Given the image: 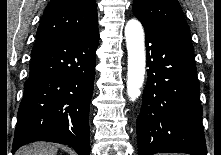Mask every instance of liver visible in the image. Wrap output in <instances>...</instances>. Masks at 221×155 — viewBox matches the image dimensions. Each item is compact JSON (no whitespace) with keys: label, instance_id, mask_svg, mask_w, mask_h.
Masks as SVG:
<instances>
[{"label":"liver","instance_id":"liver-1","mask_svg":"<svg viewBox=\"0 0 221 155\" xmlns=\"http://www.w3.org/2000/svg\"><path fill=\"white\" fill-rule=\"evenodd\" d=\"M57 146L46 142H35L22 147L17 155H56Z\"/></svg>","mask_w":221,"mask_h":155}]
</instances>
